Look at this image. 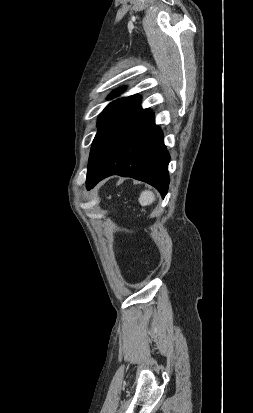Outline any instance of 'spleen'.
I'll list each match as a JSON object with an SVG mask.
<instances>
[{
	"instance_id": "3e777b00",
	"label": "spleen",
	"mask_w": 253,
	"mask_h": 413,
	"mask_svg": "<svg viewBox=\"0 0 253 413\" xmlns=\"http://www.w3.org/2000/svg\"><path fill=\"white\" fill-rule=\"evenodd\" d=\"M139 203L142 206H147L155 201V194L152 191L145 190L140 194Z\"/></svg>"
}]
</instances>
